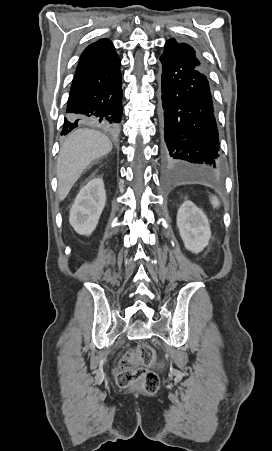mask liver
Returning a JSON list of instances; mask_svg holds the SVG:
<instances>
[{
	"label": "liver",
	"mask_w": 272,
	"mask_h": 451,
	"mask_svg": "<svg viewBox=\"0 0 272 451\" xmlns=\"http://www.w3.org/2000/svg\"><path fill=\"white\" fill-rule=\"evenodd\" d=\"M113 146L102 132L80 128L69 134L57 160L58 198L65 200L90 162L111 152Z\"/></svg>",
	"instance_id": "1"
}]
</instances>
